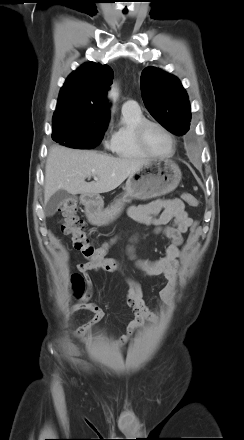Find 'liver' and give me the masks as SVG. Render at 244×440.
<instances>
[{"label": "liver", "instance_id": "6515ba94", "mask_svg": "<svg viewBox=\"0 0 244 440\" xmlns=\"http://www.w3.org/2000/svg\"><path fill=\"white\" fill-rule=\"evenodd\" d=\"M146 159L116 158L92 150L53 146L45 166L44 205L57 191L94 196L116 189L139 171ZM98 180L87 183V177Z\"/></svg>", "mask_w": 244, "mask_h": 440}]
</instances>
